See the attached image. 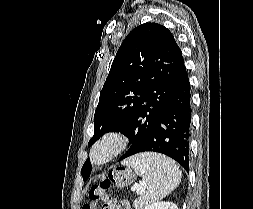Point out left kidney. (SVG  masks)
I'll list each match as a JSON object with an SVG mask.
<instances>
[{
    "mask_svg": "<svg viewBox=\"0 0 253 209\" xmlns=\"http://www.w3.org/2000/svg\"><path fill=\"white\" fill-rule=\"evenodd\" d=\"M143 209H178L177 205L172 202H153Z\"/></svg>",
    "mask_w": 253,
    "mask_h": 209,
    "instance_id": "obj_1",
    "label": "left kidney"
}]
</instances>
